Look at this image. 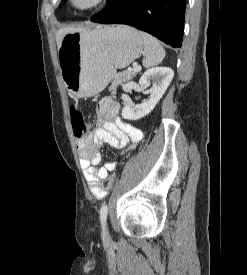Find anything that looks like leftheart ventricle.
<instances>
[{"label": "left heart ventricle", "instance_id": "obj_1", "mask_svg": "<svg viewBox=\"0 0 247 275\" xmlns=\"http://www.w3.org/2000/svg\"><path fill=\"white\" fill-rule=\"evenodd\" d=\"M77 6L83 7L89 5L93 0H74Z\"/></svg>", "mask_w": 247, "mask_h": 275}]
</instances>
